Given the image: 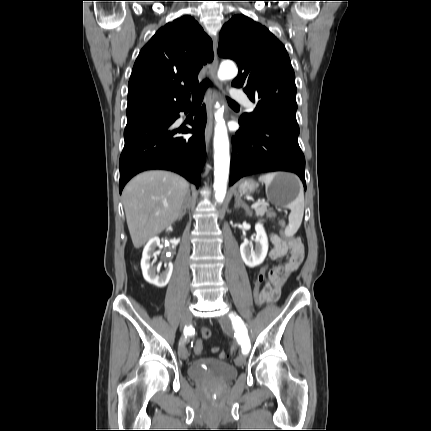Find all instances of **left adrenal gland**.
I'll use <instances>...</instances> for the list:
<instances>
[{
    "mask_svg": "<svg viewBox=\"0 0 431 431\" xmlns=\"http://www.w3.org/2000/svg\"><path fill=\"white\" fill-rule=\"evenodd\" d=\"M240 207L244 208V210L246 211L247 215H249V216L252 215L251 210L248 207V205L241 200V197L237 196L235 198L234 208L237 209V208H240Z\"/></svg>",
    "mask_w": 431,
    "mask_h": 431,
    "instance_id": "left-adrenal-gland-1",
    "label": "left adrenal gland"
}]
</instances>
